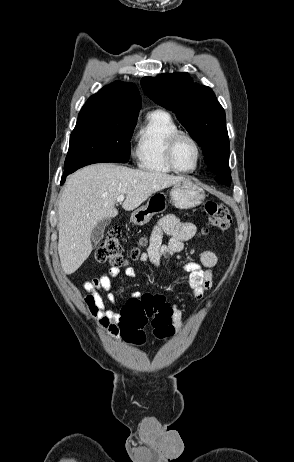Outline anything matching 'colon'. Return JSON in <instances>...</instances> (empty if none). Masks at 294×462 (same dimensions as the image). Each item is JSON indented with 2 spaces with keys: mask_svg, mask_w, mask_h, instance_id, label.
<instances>
[{
  "mask_svg": "<svg viewBox=\"0 0 294 462\" xmlns=\"http://www.w3.org/2000/svg\"><path fill=\"white\" fill-rule=\"evenodd\" d=\"M203 214L210 226L225 230L231 225V215L225 205L207 202ZM138 257V251L131 254L132 259ZM98 262L111 267H120L127 260L123 256L120 244V229L117 226L109 228L105 239L95 253ZM172 307L160 294L143 293L139 297L130 298L121 308L119 327L126 341L142 344L145 341L144 327L148 322L158 338H166L174 333L172 323Z\"/></svg>",
  "mask_w": 294,
  "mask_h": 462,
  "instance_id": "5ec220e1",
  "label": "colon"
}]
</instances>
